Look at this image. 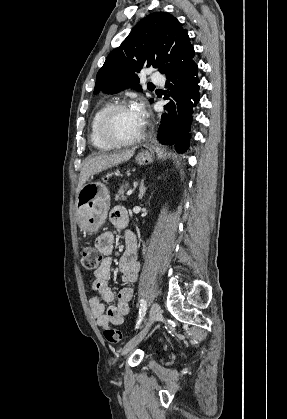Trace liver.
Instances as JSON below:
<instances>
[{
	"instance_id": "6515ba94",
	"label": "liver",
	"mask_w": 287,
	"mask_h": 419,
	"mask_svg": "<svg viewBox=\"0 0 287 419\" xmlns=\"http://www.w3.org/2000/svg\"><path fill=\"white\" fill-rule=\"evenodd\" d=\"M134 152L135 150L131 149L113 154L101 153L87 158L81 168L77 194L91 176L129 160L134 155Z\"/></svg>"
}]
</instances>
